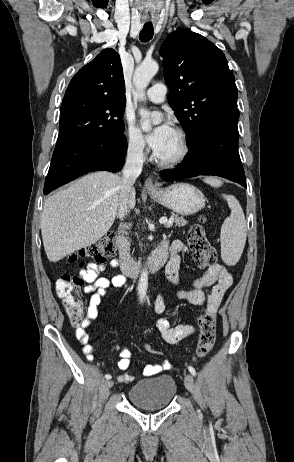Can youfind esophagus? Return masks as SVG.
Listing matches in <instances>:
<instances>
[{"mask_svg":"<svg viewBox=\"0 0 294 462\" xmlns=\"http://www.w3.org/2000/svg\"><path fill=\"white\" fill-rule=\"evenodd\" d=\"M145 188L147 191H155L156 186L153 184L152 180L150 178L146 179L145 181Z\"/></svg>","mask_w":294,"mask_h":462,"instance_id":"esophagus-1","label":"esophagus"}]
</instances>
